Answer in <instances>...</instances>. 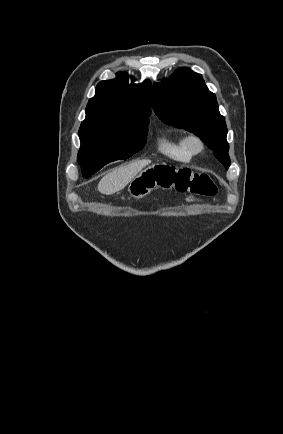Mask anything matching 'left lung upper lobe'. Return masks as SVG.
I'll return each instance as SVG.
<instances>
[{"label":"left lung upper lobe","mask_w":283,"mask_h":434,"mask_svg":"<svg viewBox=\"0 0 283 434\" xmlns=\"http://www.w3.org/2000/svg\"><path fill=\"white\" fill-rule=\"evenodd\" d=\"M153 109L166 124L194 133L214 151V156L230 166L225 118L219 113L214 93L201 74L188 68L177 69L162 83H154Z\"/></svg>","instance_id":"left-lung-upper-lobe-1"}]
</instances>
